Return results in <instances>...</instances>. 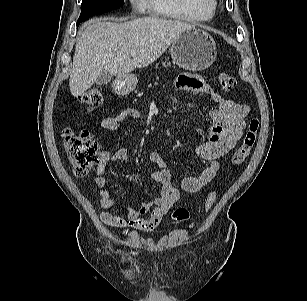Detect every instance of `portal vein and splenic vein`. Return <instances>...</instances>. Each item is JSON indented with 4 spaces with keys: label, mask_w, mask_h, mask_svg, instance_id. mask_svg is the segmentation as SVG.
Masks as SVG:
<instances>
[{
    "label": "portal vein and splenic vein",
    "mask_w": 307,
    "mask_h": 301,
    "mask_svg": "<svg viewBox=\"0 0 307 301\" xmlns=\"http://www.w3.org/2000/svg\"><path fill=\"white\" fill-rule=\"evenodd\" d=\"M130 55H131V56H135V55H136V52H135V51H132V52L130 53Z\"/></svg>",
    "instance_id": "obj_1"
}]
</instances>
